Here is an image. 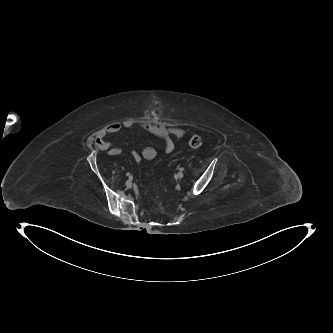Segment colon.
<instances>
[{"label": "colon", "mask_w": 333, "mask_h": 333, "mask_svg": "<svg viewBox=\"0 0 333 333\" xmlns=\"http://www.w3.org/2000/svg\"><path fill=\"white\" fill-rule=\"evenodd\" d=\"M189 145L194 149L199 148L202 145V138L197 134H193L189 139Z\"/></svg>", "instance_id": "colon-1"}]
</instances>
